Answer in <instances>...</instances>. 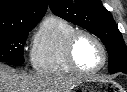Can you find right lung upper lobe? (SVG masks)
Returning a JSON list of instances; mask_svg holds the SVG:
<instances>
[{"label": "right lung upper lobe", "instance_id": "cb5924a9", "mask_svg": "<svg viewBox=\"0 0 127 92\" xmlns=\"http://www.w3.org/2000/svg\"><path fill=\"white\" fill-rule=\"evenodd\" d=\"M47 7V0H0V30L36 25Z\"/></svg>", "mask_w": 127, "mask_h": 92}]
</instances>
